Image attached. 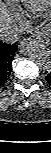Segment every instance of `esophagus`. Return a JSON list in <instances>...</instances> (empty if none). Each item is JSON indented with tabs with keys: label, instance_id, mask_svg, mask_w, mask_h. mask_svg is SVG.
<instances>
[{
	"label": "esophagus",
	"instance_id": "esophagus-1",
	"mask_svg": "<svg viewBox=\"0 0 51 153\" xmlns=\"http://www.w3.org/2000/svg\"><path fill=\"white\" fill-rule=\"evenodd\" d=\"M34 37H36L37 39H41L42 35H41V33L39 32V33H37V34H34Z\"/></svg>",
	"mask_w": 51,
	"mask_h": 153
}]
</instances>
